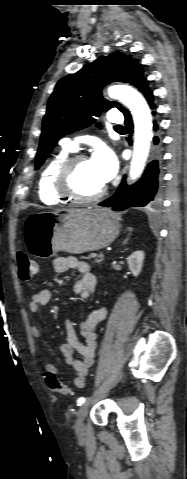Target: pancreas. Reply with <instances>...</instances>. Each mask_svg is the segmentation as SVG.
I'll return each instance as SVG.
<instances>
[{
  "label": "pancreas",
  "mask_w": 187,
  "mask_h": 479,
  "mask_svg": "<svg viewBox=\"0 0 187 479\" xmlns=\"http://www.w3.org/2000/svg\"><path fill=\"white\" fill-rule=\"evenodd\" d=\"M81 258H85V257H81ZM102 261H103V258L99 256V257L94 258V261H93V262H94V263H100V262H102Z\"/></svg>",
  "instance_id": "1"
}]
</instances>
